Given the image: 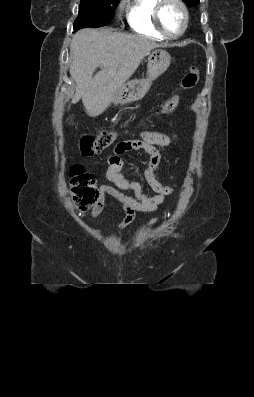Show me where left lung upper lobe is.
I'll use <instances>...</instances> for the list:
<instances>
[{
  "label": "left lung upper lobe",
  "mask_w": 254,
  "mask_h": 397,
  "mask_svg": "<svg viewBox=\"0 0 254 397\" xmlns=\"http://www.w3.org/2000/svg\"><path fill=\"white\" fill-rule=\"evenodd\" d=\"M183 1L186 2L188 7H191L192 5H194V4L199 2V0H183Z\"/></svg>",
  "instance_id": "left-lung-upper-lobe-1"
}]
</instances>
